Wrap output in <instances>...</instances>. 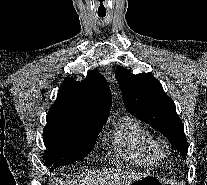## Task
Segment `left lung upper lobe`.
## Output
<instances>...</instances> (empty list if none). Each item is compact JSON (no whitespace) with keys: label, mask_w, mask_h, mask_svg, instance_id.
Returning <instances> with one entry per match:
<instances>
[{"label":"left lung upper lobe","mask_w":207,"mask_h":185,"mask_svg":"<svg viewBox=\"0 0 207 185\" xmlns=\"http://www.w3.org/2000/svg\"><path fill=\"white\" fill-rule=\"evenodd\" d=\"M115 76L127 111L161 132L186 159L188 143L183 123L159 81L150 74L133 75L123 67L116 70Z\"/></svg>","instance_id":"5c2ea615"}]
</instances>
